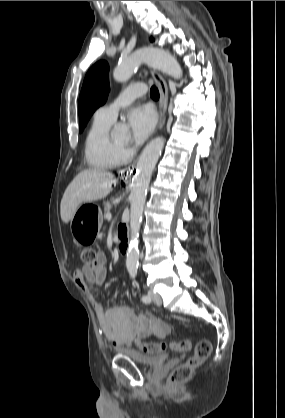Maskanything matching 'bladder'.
<instances>
[{
    "mask_svg": "<svg viewBox=\"0 0 285 418\" xmlns=\"http://www.w3.org/2000/svg\"><path fill=\"white\" fill-rule=\"evenodd\" d=\"M118 355L127 356L139 365L146 367H154L162 364L168 355L165 353H140L128 347H118L116 349Z\"/></svg>",
    "mask_w": 285,
    "mask_h": 418,
    "instance_id": "obj_1",
    "label": "bladder"
}]
</instances>
